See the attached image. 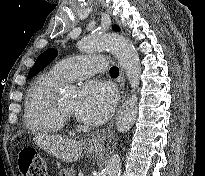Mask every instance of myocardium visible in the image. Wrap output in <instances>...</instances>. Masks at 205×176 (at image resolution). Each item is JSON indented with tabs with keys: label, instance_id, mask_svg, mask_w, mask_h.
<instances>
[{
	"label": "myocardium",
	"instance_id": "myocardium-1",
	"mask_svg": "<svg viewBox=\"0 0 205 176\" xmlns=\"http://www.w3.org/2000/svg\"><path fill=\"white\" fill-rule=\"evenodd\" d=\"M56 107H57V112H58V114H59L64 120H69V119H71V118L73 117L72 111H68V110L64 109V108L61 106V104H59L58 102H57Z\"/></svg>",
	"mask_w": 205,
	"mask_h": 176
}]
</instances>
